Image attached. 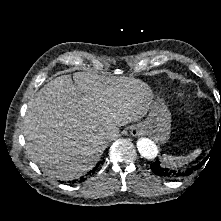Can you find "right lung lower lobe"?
<instances>
[{
  "label": "right lung lower lobe",
  "instance_id": "1",
  "mask_svg": "<svg viewBox=\"0 0 221 221\" xmlns=\"http://www.w3.org/2000/svg\"><path fill=\"white\" fill-rule=\"evenodd\" d=\"M98 165H99V163L96 165V167H95L93 170H91V171L89 172V174L94 173V171L97 169ZM81 179H83V178H81ZM73 182H76V180H74Z\"/></svg>",
  "mask_w": 221,
  "mask_h": 221
}]
</instances>
